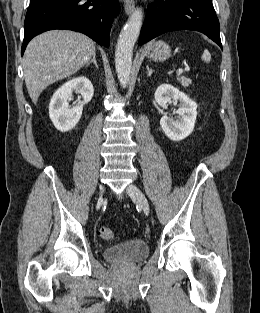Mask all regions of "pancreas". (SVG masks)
Masks as SVG:
<instances>
[{"label": "pancreas", "instance_id": "1", "mask_svg": "<svg viewBox=\"0 0 260 313\" xmlns=\"http://www.w3.org/2000/svg\"><path fill=\"white\" fill-rule=\"evenodd\" d=\"M179 82L181 83L183 87H188L189 84L191 83V80L186 77H181L179 78Z\"/></svg>", "mask_w": 260, "mask_h": 313}]
</instances>
